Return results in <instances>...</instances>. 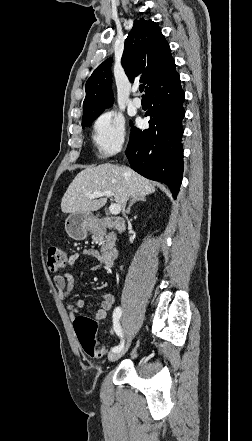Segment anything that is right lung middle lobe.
<instances>
[{"mask_svg": "<svg viewBox=\"0 0 252 441\" xmlns=\"http://www.w3.org/2000/svg\"><path fill=\"white\" fill-rule=\"evenodd\" d=\"M96 117H97V116H96ZM96 117H94L93 119H91V120H89V121H87V122H85V123H82V128H84V127H86V126H89V125L94 121V119H95Z\"/></svg>", "mask_w": 252, "mask_h": 441, "instance_id": "right-lung-middle-lobe-1", "label": "right lung middle lobe"}]
</instances>
